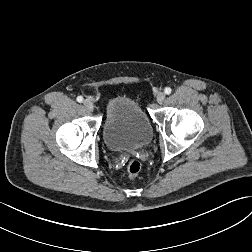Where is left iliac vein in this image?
<instances>
[{"mask_svg": "<svg viewBox=\"0 0 252 252\" xmlns=\"http://www.w3.org/2000/svg\"><path fill=\"white\" fill-rule=\"evenodd\" d=\"M164 100H165V94L163 92H159L157 94V102L161 104L164 102Z\"/></svg>", "mask_w": 252, "mask_h": 252, "instance_id": "4c4485c4", "label": "left iliac vein"}]
</instances>
